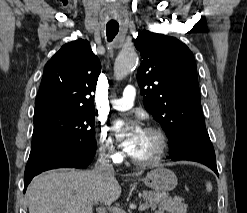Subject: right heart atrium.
I'll return each mask as SVG.
<instances>
[{
  "label": "right heart atrium",
  "mask_w": 247,
  "mask_h": 213,
  "mask_svg": "<svg viewBox=\"0 0 247 213\" xmlns=\"http://www.w3.org/2000/svg\"><path fill=\"white\" fill-rule=\"evenodd\" d=\"M97 147L99 155L107 161L119 163L123 158L105 127H100L97 132Z\"/></svg>",
  "instance_id": "right-heart-atrium-1"
}]
</instances>
